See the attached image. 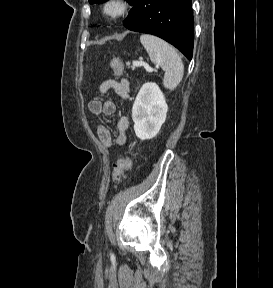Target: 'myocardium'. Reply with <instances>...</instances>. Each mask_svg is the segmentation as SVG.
I'll return each mask as SVG.
<instances>
[{"label": "myocardium", "instance_id": "f54148a6", "mask_svg": "<svg viewBox=\"0 0 273 288\" xmlns=\"http://www.w3.org/2000/svg\"><path fill=\"white\" fill-rule=\"evenodd\" d=\"M131 9L129 0H106L101 7V13L106 19L117 20L127 15Z\"/></svg>", "mask_w": 273, "mask_h": 288}]
</instances>
